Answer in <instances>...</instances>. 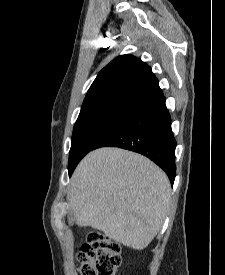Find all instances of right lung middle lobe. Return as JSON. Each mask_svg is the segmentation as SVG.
Listing matches in <instances>:
<instances>
[{"label": "right lung middle lobe", "mask_w": 225, "mask_h": 275, "mask_svg": "<svg viewBox=\"0 0 225 275\" xmlns=\"http://www.w3.org/2000/svg\"><path fill=\"white\" fill-rule=\"evenodd\" d=\"M126 116L122 113H101L76 121L69 153V176L78 162Z\"/></svg>", "instance_id": "obj_1"}]
</instances>
